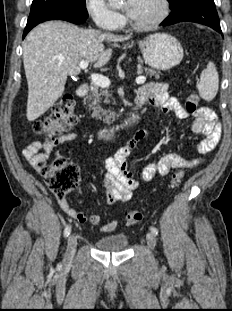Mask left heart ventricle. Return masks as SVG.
Here are the masks:
<instances>
[{"instance_id":"1","label":"left heart ventricle","mask_w":232,"mask_h":311,"mask_svg":"<svg viewBox=\"0 0 232 311\" xmlns=\"http://www.w3.org/2000/svg\"><path fill=\"white\" fill-rule=\"evenodd\" d=\"M159 11L157 0H141L136 13L131 20L138 24H144L155 18Z\"/></svg>"}]
</instances>
